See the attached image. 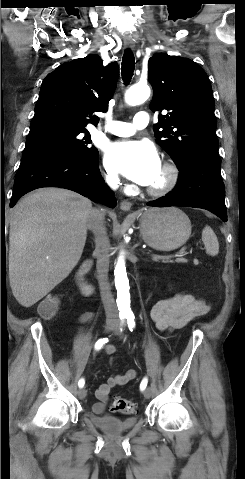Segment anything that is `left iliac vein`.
I'll return each mask as SVG.
<instances>
[{
    "mask_svg": "<svg viewBox=\"0 0 245 479\" xmlns=\"http://www.w3.org/2000/svg\"><path fill=\"white\" fill-rule=\"evenodd\" d=\"M116 333L119 335V336H122V332L119 331V329L117 328L116 329ZM143 395L145 398H149L150 395H151V389L150 388H146L144 391H143Z\"/></svg>",
    "mask_w": 245,
    "mask_h": 479,
    "instance_id": "left-iliac-vein-1",
    "label": "left iliac vein"
}]
</instances>
